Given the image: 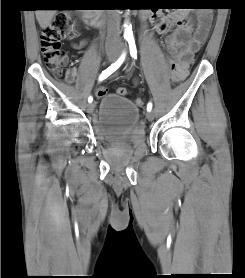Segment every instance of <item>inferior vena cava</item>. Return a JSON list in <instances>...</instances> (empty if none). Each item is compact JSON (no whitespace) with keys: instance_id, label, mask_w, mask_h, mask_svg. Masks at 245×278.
Listing matches in <instances>:
<instances>
[{"instance_id":"obj_1","label":"inferior vena cava","mask_w":245,"mask_h":278,"mask_svg":"<svg viewBox=\"0 0 245 278\" xmlns=\"http://www.w3.org/2000/svg\"><path fill=\"white\" fill-rule=\"evenodd\" d=\"M120 40L119 14L115 11L109 13L107 27V43H117Z\"/></svg>"}]
</instances>
